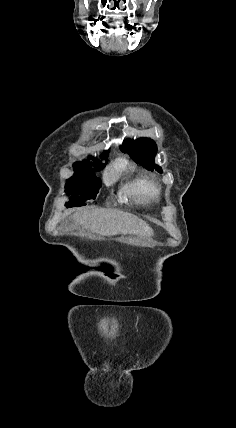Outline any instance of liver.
<instances>
[{"label":"liver","instance_id":"obj_1","mask_svg":"<svg viewBox=\"0 0 236 428\" xmlns=\"http://www.w3.org/2000/svg\"><path fill=\"white\" fill-rule=\"evenodd\" d=\"M76 222L90 228L92 232L104 234V236H116V234H136L143 238L154 236L152 228L144 220H140L133 214L116 212V210H81L73 216Z\"/></svg>","mask_w":236,"mask_h":428}]
</instances>
